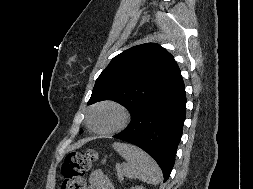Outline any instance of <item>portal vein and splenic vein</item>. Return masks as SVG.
<instances>
[{"label": "portal vein and splenic vein", "mask_w": 253, "mask_h": 189, "mask_svg": "<svg viewBox=\"0 0 253 189\" xmlns=\"http://www.w3.org/2000/svg\"><path fill=\"white\" fill-rule=\"evenodd\" d=\"M119 168H120V166H119V165H117V166H116V169H117V170H119Z\"/></svg>", "instance_id": "portal-vein-and-splenic-vein-1"}]
</instances>
